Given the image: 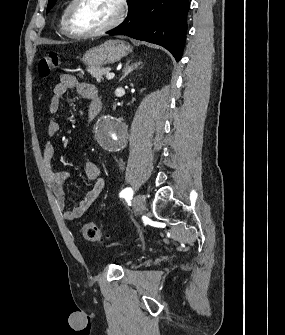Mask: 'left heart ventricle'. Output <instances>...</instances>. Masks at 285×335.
Instances as JSON below:
<instances>
[{
  "label": "left heart ventricle",
  "instance_id": "obj_1",
  "mask_svg": "<svg viewBox=\"0 0 285 335\" xmlns=\"http://www.w3.org/2000/svg\"><path fill=\"white\" fill-rule=\"evenodd\" d=\"M115 12L113 1H87L78 10L77 24L84 30H97L109 23Z\"/></svg>",
  "mask_w": 285,
  "mask_h": 335
}]
</instances>
